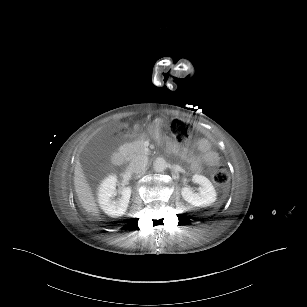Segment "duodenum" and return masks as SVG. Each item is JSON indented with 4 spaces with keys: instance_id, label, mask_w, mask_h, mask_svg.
Segmentation results:
<instances>
[{
    "instance_id": "1",
    "label": "duodenum",
    "mask_w": 307,
    "mask_h": 307,
    "mask_svg": "<svg viewBox=\"0 0 307 307\" xmlns=\"http://www.w3.org/2000/svg\"><path fill=\"white\" fill-rule=\"evenodd\" d=\"M125 154L122 150H118L113 154L112 161L115 165H121L124 161Z\"/></svg>"
}]
</instances>
